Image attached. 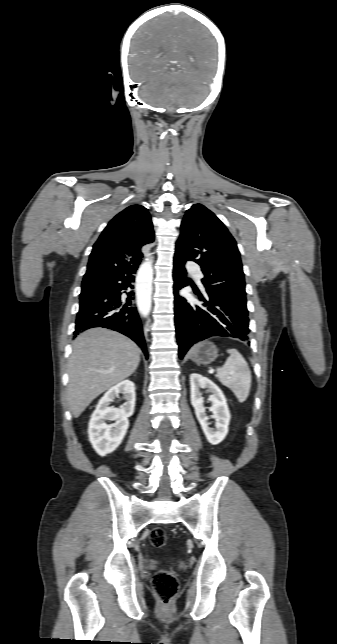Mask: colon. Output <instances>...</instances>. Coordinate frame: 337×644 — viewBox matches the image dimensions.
I'll return each mask as SVG.
<instances>
[{
	"mask_svg": "<svg viewBox=\"0 0 337 644\" xmlns=\"http://www.w3.org/2000/svg\"><path fill=\"white\" fill-rule=\"evenodd\" d=\"M149 539L154 547H162L166 541L165 530L161 527L153 528L150 532ZM153 587L161 603L168 605L176 595L179 583L172 571L163 569L154 574Z\"/></svg>",
	"mask_w": 337,
	"mask_h": 644,
	"instance_id": "obj_1",
	"label": "colon"
}]
</instances>
